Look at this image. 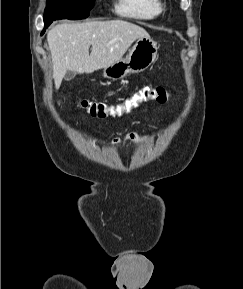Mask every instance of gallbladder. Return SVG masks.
I'll use <instances>...</instances> for the list:
<instances>
[{"label": "gallbladder", "instance_id": "gallbladder-1", "mask_svg": "<svg viewBox=\"0 0 243 289\" xmlns=\"http://www.w3.org/2000/svg\"><path fill=\"white\" fill-rule=\"evenodd\" d=\"M75 72L74 71H70V70H68L67 72H66V74H65V76H64V79L66 80V81H71L74 77H75Z\"/></svg>", "mask_w": 243, "mask_h": 289}]
</instances>
